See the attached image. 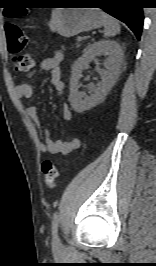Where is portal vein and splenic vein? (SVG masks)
<instances>
[{"label": "portal vein and splenic vein", "mask_w": 156, "mask_h": 266, "mask_svg": "<svg viewBox=\"0 0 156 266\" xmlns=\"http://www.w3.org/2000/svg\"><path fill=\"white\" fill-rule=\"evenodd\" d=\"M77 40H78V41H81V40H82V37H78Z\"/></svg>", "instance_id": "18ae733b"}]
</instances>
